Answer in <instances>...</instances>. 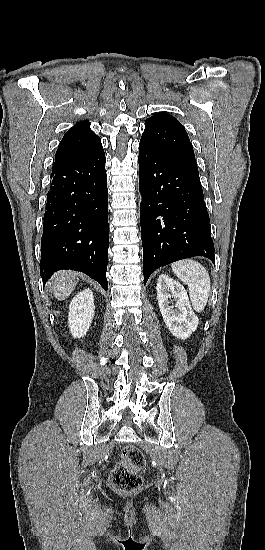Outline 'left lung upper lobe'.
Here are the masks:
<instances>
[{
    "instance_id": "left-lung-upper-lobe-1",
    "label": "left lung upper lobe",
    "mask_w": 265,
    "mask_h": 550,
    "mask_svg": "<svg viewBox=\"0 0 265 550\" xmlns=\"http://www.w3.org/2000/svg\"><path fill=\"white\" fill-rule=\"evenodd\" d=\"M140 144L174 160L198 174L194 150L188 134L173 116L161 112L145 121Z\"/></svg>"
}]
</instances>
